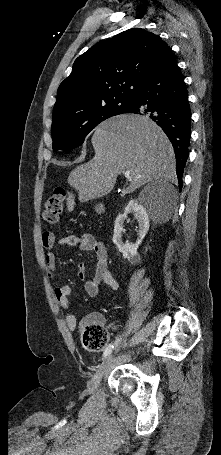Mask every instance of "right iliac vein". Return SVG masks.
Instances as JSON below:
<instances>
[{"mask_svg":"<svg viewBox=\"0 0 221 455\" xmlns=\"http://www.w3.org/2000/svg\"><path fill=\"white\" fill-rule=\"evenodd\" d=\"M113 358H114L113 354L107 356L104 359V361L102 362V364L100 365V367L98 368V370L96 371V373L94 374V376L88 382L87 390L89 393H92L98 389L100 381H101L102 377L104 376V374L107 372L110 364L113 361Z\"/></svg>","mask_w":221,"mask_h":455,"instance_id":"right-iliac-vein-1","label":"right iliac vein"}]
</instances>
